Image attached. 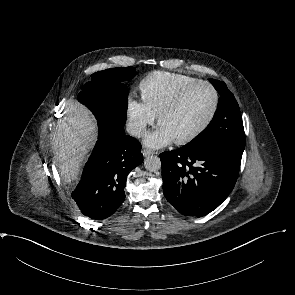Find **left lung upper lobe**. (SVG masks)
<instances>
[{"mask_svg":"<svg viewBox=\"0 0 295 295\" xmlns=\"http://www.w3.org/2000/svg\"><path fill=\"white\" fill-rule=\"evenodd\" d=\"M211 83L221 96L214 117L206 129L183 148L216 146L243 154L245 133L238 103L224 82L211 79Z\"/></svg>","mask_w":295,"mask_h":295,"instance_id":"5c2ea615","label":"left lung upper lobe"}]
</instances>
